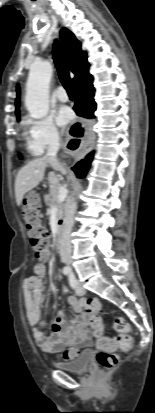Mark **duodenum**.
<instances>
[{
	"label": "duodenum",
	"mask_w": 155,
	"mask_h": 413,
	"mask_svg": "<svg viewBox=\"0 0 155 413\" xmlns=\"http://www.w3.org/2000/svg\"><path fill=\"white\" fill-rule=\"evenodd\" d=\"M63 232H64V224L61 222L57 226V231H56V249H57L58 254L63 253V245H62Z\"/></svg>",
	"instance_id": "1"
}]
</instances>
